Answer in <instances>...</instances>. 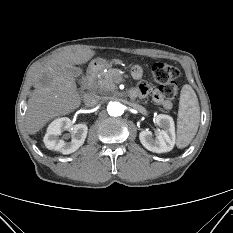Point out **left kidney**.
I'll list each match as a JSON object with an SVG mask.
<instances>
[{
    "instance_id": "obj_1",
    "label": "left kidney",
    "mask_w": 233,
    "mask_h": 233,
    "mask_svg": "<svg viewBox=\"0 0 233 233\" xmlns=\"http://www.w3.org/2000/svg\"><path fill=\"white\" fill-rule=\"evenodd\" d=\"M156 124L162 128L153 138L152 132L145 129L140 132L139 139L141 144L149 151L155 153H165L173 149L175 145V124L171 116L159 114L155 118Z\"/></svg>"
}]
</instances>
